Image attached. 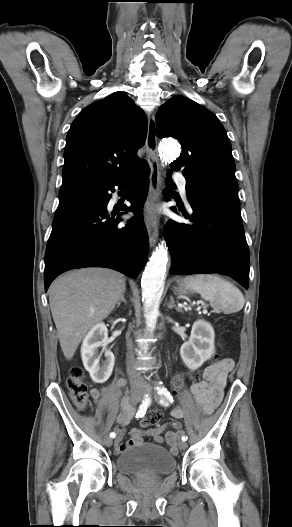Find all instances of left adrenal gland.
<instances>
[{"label":"left adrenal gland","instance_id":"a2214340","mask_svg":"<svg viewBox=\"0 0 292 527\" xmlns=\"http://www.w3.org/2000/svg\"><path fill=\"white\" fill-rule=\"evenodd\" d=\"M168 308H169V309L175 308V309H176L177 311H179V312L182 311L181 308H179V307H177V306L175 305L174 298H173L172 296L170 297V302H169V304H168Z\"/></svg>","mask_w":292,"mask_h":527}]
</instances>
